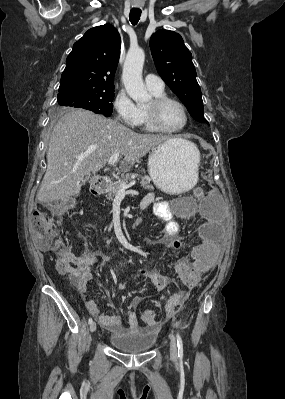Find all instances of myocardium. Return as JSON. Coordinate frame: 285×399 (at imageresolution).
<instances>
[{"label":"myocardium","mask_w":285,"mask_h":399,"mask_svg":"<svg viewBox=\"0 0 285 399\" xmlns=\"http://www.w3.org/2000/svg\"><path fill=\"white\" fill-rule=\"evenodd\" d=\"M168 102H173V103L177 104L183 112L184 123L180 127L168 128V127H165L161 122V116H160L161 109ZM145 111L147 114L149 124L155 131H158V132H163V133L178 132V131H181L188 123L189 117H188V112H187L185 105L180 100H178L177 98H174L172 96L161 95V96L155 97L151 101L150 106L146 107Z\"/></svg>","instance_id":"f54148a6"}]
</instances>
